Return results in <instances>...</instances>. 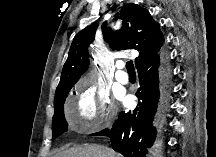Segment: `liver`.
I'll return each instance as SVG.
<instances>
[{"instance_id":"obj_1","label":"liver","mask_w":216,"mask_h":157,"mask_svg":"<svg viewBox=\"0 0 216 157\" xmlns=\"http://www.w3.org/2000/svg\"><path fill=\"white\" fill-rule=\"evenodd\" d=\"M119 154L113 149L102 145H87L84 147H72L63 150L55 157H118Z\"/></svg>"}]
</instances>
